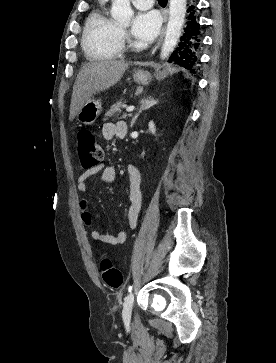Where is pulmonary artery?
Segmentation results:
<instances>
[{
  "mask_svg": "<svg viewBox=\"0 0 276 363\" xmlns=\"http://www.w3.org/2000/svg\"><path fill=\"white\" fill-rule=\"evenodd\" d=\"M132 3L140 10H147L153 6V0H132Z\"/></svg>",
  "mask_w": 276,
  "mask_h": 363,
  "instance_id": "1",
  "label": "pulmonary artery"
}]
</instances>
